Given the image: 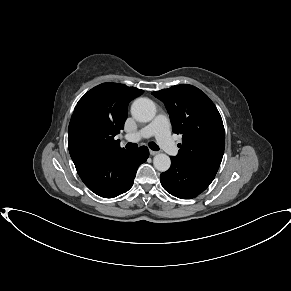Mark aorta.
<instances>
[{
	"instance_id": "762f6f07",
	"label": "aorta",
	"mask_w": 291,
	"mask_h": 291,
	"mask_svg": "<svg viewBox=\"0 0 291 291\" xmlns=\"http://www.w3.org/2000/svg\"><path fill=\"white\" fill-rule=\"evenodd\" d=\"M131 114L137 121L149 122L155 117L156 106L149 98H137L131 106ZM153 165L158 171L165 172L170 168V157L159 153L155 155Z\"/></svg>"
}]
</instances>
